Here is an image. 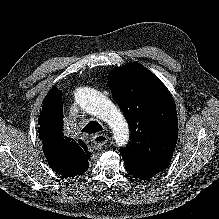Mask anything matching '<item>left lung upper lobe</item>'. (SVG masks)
<instances>
[{"label":"left lung upper lobe","mask_w":219,"mask_h":219,"mask_svg":"<svg viewBox=\"0 0 219 219\" xmlns=\"http://www.w3.org/2000/svg\"><path fill=\"white\" fill-rule=\"evenodd\" d=\"M108 86L131 131L128 146L120 149L124 162L168 166L178 137L176 108L168 89L136 62L113 69Z\"/></svg>","instance_id":"obj_1"}]
</instances>
